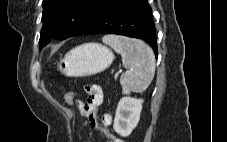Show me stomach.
<instances>
[{
    "mask_svg": "<svg viewBox=\"0 0 227 142\" xmlns=\"http://www.w3.org/2000/svg\"><path fill=\"white\" fill-rule=\"evenodd\" d=\"M114 60L112 51L98 43H86L66 53L57 70L70 77L91 76L104 71Z\"/></svg>",
    "mask_w": 227,
    "mask_h": 142,
    "instance_id": "0dacf381",
    "label": "stomach"
}]
</instances>
